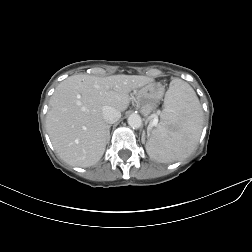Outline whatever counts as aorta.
<instances>
[{"label": "aorta", "mask_w": 252, "mask_h": 252, "mask_svg": "<svg viewBox=\"0 0 252 252\" xmlns=\"http://www.w3.org/2000/svg\"><path fill=\"white\" fill-rule=\"evenodd\" d=\"M127 121H128L129 126L132 127L133 129H138L142 125L141 117L138 114H131L128 117Z\"/></svg>", "instance_id": "obj_1"}]
</instances>
